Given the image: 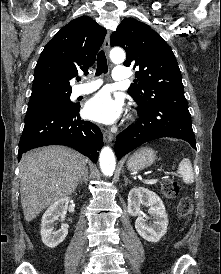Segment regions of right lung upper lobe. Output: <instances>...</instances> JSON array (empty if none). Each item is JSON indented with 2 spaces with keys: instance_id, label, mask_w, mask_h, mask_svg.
I'll return each mask as SVG.
<instances>
[{
  "instance_id": "1",
  "label": "right lung upper lobe",
  "mask_w": 221,
  "mask_h": 274,
  "mask_svg": "<svg viewBox=\"0 0 221 274\" xmlns=\"http://www.w3.org/2000/svg\"><path fill=\"white\" fill-rule=\"evenodd\" d=\"M106 29L88 16L69 22L44 47L34 72L30 100L71 93L69 80L88 73Z\"/></svg>"
}]
</instances>
